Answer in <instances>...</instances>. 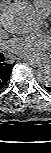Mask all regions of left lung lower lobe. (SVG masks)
I'll list each match as a JSON object with an SVG mask.
<instances>
[{
  "label": "left lung lower lobe",
  "mask_w": 51,
  "mask_h": 153,
  "mask_svg": "<svg viewBox=\"0 0 51 153\" xmlns=\"http://www.w3.org/2000/svg\"><path fill=\"white\" fill-rule=\"evenodd\" d=\"M46 89L51 92V86L46 87Z\"/></svg>",
  "instance_id": "0a47b994"
}]
</instances>
